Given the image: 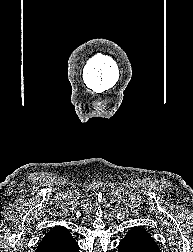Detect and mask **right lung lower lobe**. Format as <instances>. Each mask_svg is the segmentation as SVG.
Here are the masks:
<instances>
[{"label":"right lung lower lobe","mask_w":193,"mask_h":252,"mask_svg":"<svg viewBox=\"0 0 193 252\" xmlns=\"http://www.w3.org/2000/svg\"><path fill=\"white\" fill-rule=\"evenodd\" d=\"M36 252H79V248L77 242L65 228L45 235Z\"/></svg>","instance_id":"98d812e1"}]
</instances>
